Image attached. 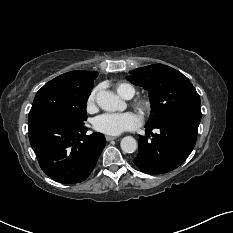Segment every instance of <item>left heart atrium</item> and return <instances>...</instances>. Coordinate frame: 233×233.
Returning <instances> with one entry per match:
<instances>
[{
	"mask_svg": "<svg viewBox=\"0 0 233 233\" xmlns=\"http://www.w3.org/2000/svg\"><path fill=\"white\" fill-rule=\"evenodd\" d=\"M140 122V118L132 112L105 113L94 119L93 127L101 133L115 136L136 129Z\"/></svg>",
	"mask_w": 233,
	"mask_h": 233,
	"instance_id": "left-heart-atrium-1",
	"label": "left heart atrium"
}]
</instances>
